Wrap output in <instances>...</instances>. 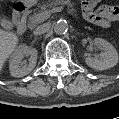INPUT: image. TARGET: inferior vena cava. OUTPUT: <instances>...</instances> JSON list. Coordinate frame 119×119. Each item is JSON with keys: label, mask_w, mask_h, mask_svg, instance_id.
<instances>
[{"label": "inferior vena cava", "mask_w": 119, "mask_h": 119, "mask_svg": "<svg viewBox=\"0 0 119 119\" xmlns=\"http://www.w3.org/2000/svg\"><path fill=\"white\" fill-rule=\"evenodd\" d=\"M49 29H50V24L45 23V24H42V25L36 27L34 30V34L41 35V34L46 33L47 31H49Z\"/></svg>", "instance_id": "1"}]
</instances>
